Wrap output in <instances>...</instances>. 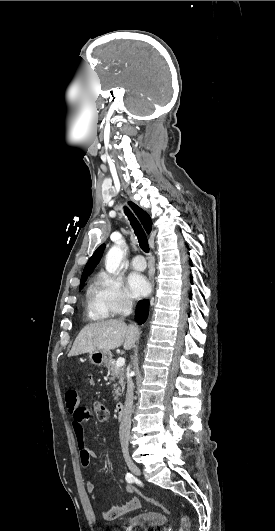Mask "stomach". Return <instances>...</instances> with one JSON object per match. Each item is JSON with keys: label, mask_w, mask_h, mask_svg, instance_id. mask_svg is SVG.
<instances>
[{"label": "stomach", "mask_w": 275, "mask_h": 531, "mask_svg": "<svg viewBox=\"0 0 275 531\" xmlns=\"http://www.w3.org/2000/svg\"><path fill=\"white\" fill-rule=\"evenodd\" d=\"M89 361H91L92 365H98V367H102V365H109L112 361V353L111 351H104V349H96V351H92V353H89Z\"/></svg>", "instance_id": "stomach-1"}]
</instances>
